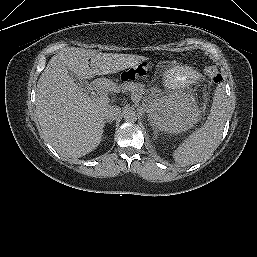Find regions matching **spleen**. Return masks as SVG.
Listing matches in <instances>:
<instances>
[{
  "label": "spleen",
  "instance_id": "1",
  "mask_svg": "<svg viewBox=\"0 0 257 257\" xmlns=\"http://www.w3.org/2000/svg\"><path fill=\"white\" fill-rule=\"evenodd\" d=\"M227 117L226 93L223 86H218L206 122L201 128L191 133L174 151L175 162L185 167L211 156L221 141Z\"/></svg>",
  "mask_w": 257,
  "mask_h": 257
}]
</instances>
